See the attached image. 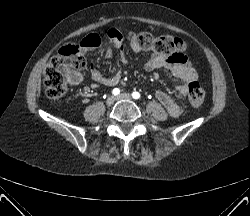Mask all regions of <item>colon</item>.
<instances>
[{
	"label": "colon",
	"mask_w": 250,
	"mask_h": 216,
	"mask_svg": "<svg viewBox=\"0 0 250 216\" xmlns=\"http://www.w3.org/2000/svg\"><path fill=\"white\" fill-rule=\"evenodd\" d=\"M110 38L120 36L116 30L108 32ZM131 41L142 50H151L159 54H182L185 43L172 35L155 36L149 32H141L131 36ZM86 65L80 49L76 45H66L50 59L44 71L46 95L54 101H62L68 90L70 78ZM205 98L204 90L196 81L188 84V99L194 108H199Z\"/></svg>",
	"instance_id": "1"
}]
</instances>
